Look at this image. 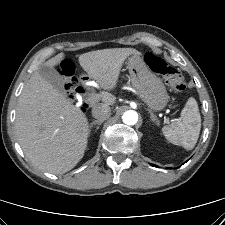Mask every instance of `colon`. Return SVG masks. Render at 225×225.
Masks as SVG:
<instances>
[{
	"mask_svg": "<svg viewBox=\"0 0 225 225\" xmlns=\"http://www.w3.org/2000/svg\"><path fill=\"white\" fill-rule=\"evenodd\" d=\"M145 62L153 72L163 76L170 89L177 92L185 89L186 85L183 75L163 58L148 52L145 55ZM61 68L66 78L67 92L72 98H75L76 95L81 94V87L73 75V65L69 61H64ZM83 107L85 108L87 105L83 104Z\"/></svg>",
	"mask_w": 225,
	"mask_h": 225,
	"instance_id": "1",
	"label": "colon"
}]
</instances>
